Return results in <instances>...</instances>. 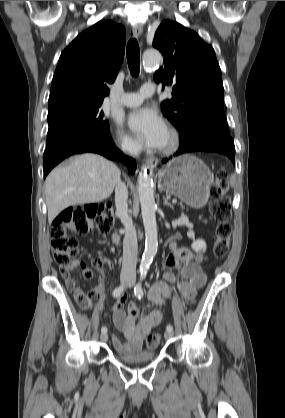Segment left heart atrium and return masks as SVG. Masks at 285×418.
<instances>
[{"mask_svg": "<svg viewBox=\"0 0 285 418\" xmlns=\"http://www.w3.org/2000/svg\"><path fill=\"white\" fill-rule=\"evenodd\" d=\"M127 124L133 135L145 144L158 146L166 137V123L154 108L133 110L128 115Z\"/></svg>", "mask_w": 285, "mask_h": 418, "instance_id": "39dd6f15", "label": "left heart atrium"}]
</instances>
